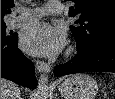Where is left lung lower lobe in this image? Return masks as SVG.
Masks as SVG:
<instances>
[{
    "mask_svg": "<svg viewBox=\"0 0 115 99\" xmlns=\"http://www.w3.org/2000/svg\"><path fill=\"white\" fill-rule=\"evenodd\" d=\"M81 72H115V44L77 52L70 61L54 68L58 77Z\"/></svg>",
    "mask_w": 115,
    "mask_h": 99,
    "instance_id": "1",
    "label": "left lung lower lobe"
}]
</instances>
